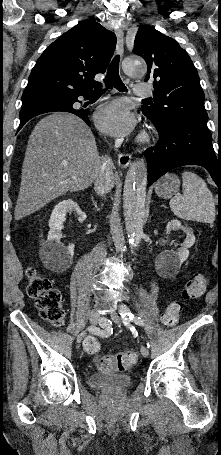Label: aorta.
Wrapping results in <instances>:
<instances>
[{
    "label": "aorta",
    "mask_w": 221,
    "mask_h": 455,
    "mask_svg": "<svg viewBox=\"0 0 221 455\" xmlns=\"http://www.w3.org/2000/svg\"><path fill=\"white\" fill-rule=\"evenodd\" d=\"M125 74L143 76L147 72L145 63L136 58H126L122 63ZM147 185V167L143 159L130 164L125 177L123 208L126 231L131 245L137 246L143 236Z\"/></svg>",
    "instance_id": "aorta-1"
}]
</instances>
